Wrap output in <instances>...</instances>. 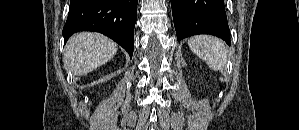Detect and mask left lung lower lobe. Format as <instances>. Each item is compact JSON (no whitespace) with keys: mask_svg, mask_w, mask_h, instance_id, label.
<instances>
[{"mask_svg":"<svg viewBox=\"0 0 299 130\" xmlns=\"http://www.w3.org/2000/svg\"><path fill=\"white\" fill-rule=\"evenodd\" d=\"M177 40L210 34L230 45V30L224 0H171Z\"/></svg>","mask_w":299,"mask_h":130,"instance_id":"obj_1","label":"left lung lower lobe"}]
</instances>
